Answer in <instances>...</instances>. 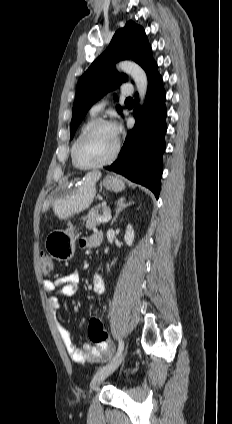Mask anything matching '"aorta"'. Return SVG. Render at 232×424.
Instances as JSON below:
<instances>
[{
    "label": "aorta",
    "instance_id": "aorta-1",
    "mask_svg": "<svg viewBox=\"0 0 232 424\" xmlns=\"http://www.w3.org/2000/svg\"><path fill=\"white\" fill-rule=\"evenodd\" d=\"M118 68L132 77L136 88L139 92L140 104L145 100L147 92L148 80L145 71L136 63L131 61H122L118 64Z\"/></svg>",
    "mask_w": 232,
    "mask_h": 424
}]
</instances>
